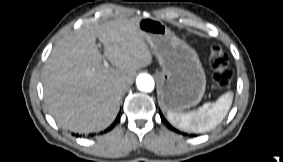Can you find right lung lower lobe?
Masks as SVG:
<instances>
[{"label":"right lung lower lobe","instance_id":"right-lung-lower-lobe-1","mask_svg":"<svg viewBox=\"0 0 283 162\" xmlns=\"http://www.w3.org/2000/svg\"><path fill=\"white\" fill-rule=\"evenodd\" d=\"M118 120H119V115L117 116V118H116L115 122L111 125V127H110L108 130L112 129V128H113V126L115 125V123H116Z\"/></svg>","mask_w":283,"mask_h":162}]
</instances>
